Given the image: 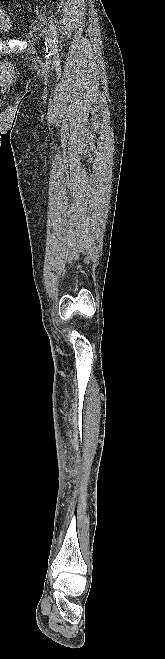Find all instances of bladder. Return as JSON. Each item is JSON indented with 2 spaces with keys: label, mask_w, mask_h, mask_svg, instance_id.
I'll use <instances>...</instances> for the list:
<instances>
[{
  "label": "bladder",
  "mask_w": 165,
  "mask_h": 659,
  "mask_svg": "<svg viewBox=\"0 0 165 659\" xmlns=\"http://www.w3.org/2000/svg\"><path fill=\"white\" fill-rule=\"evenodd\" d=\"M13 23L11 17L0 7V36H8L12 33Z\"/></svg>",
  "instance_id": "1"
}]
</instances>
